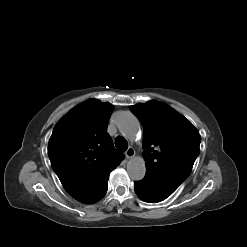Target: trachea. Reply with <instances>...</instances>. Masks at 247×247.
<instances>
[{"mask_svg":"<svg viewBox=\"0 0 247 247\" xmlns=\"http://www.w3.org/2000/svg\"><path fill=\"white\" fill-rule=\"evenodd\" d=\"M115 146L116 148L121 151V152H124L127 150L128 148V142L126 141L125 138L123 137H118L116 140H115Z\"/></svg>","mask_w":247,"mask_h":247,"instance_id":"1","label":"trachea"}]
</instances>
